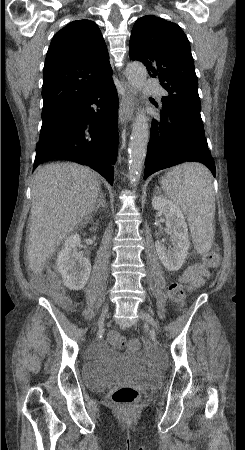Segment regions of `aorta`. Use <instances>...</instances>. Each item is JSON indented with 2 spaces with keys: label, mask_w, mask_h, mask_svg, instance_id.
I'll return each instance as SVG.
<instances>
[{
  "label": "aorta",
  "mask_w": 245,
  "mask_h": 450,
  "mask_svg": "<svg viewBox=\"0 0 245 450\" xmlns=\"http://www.w3.org/2000/svg\"><path fill=\"white\" fill-rule=\"evenodd\" d=\"M128 82L136 89L143 88L147 79V69L139 62H131L126 67ZM149 141L148 119L143 111L139 112L133 123L132 134L129 143V180L136 185L140 179L147 154Z\"/></svg>",
  "instance_id": "1"
}]
</instances>
